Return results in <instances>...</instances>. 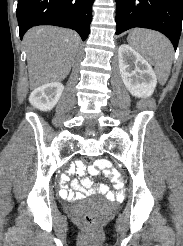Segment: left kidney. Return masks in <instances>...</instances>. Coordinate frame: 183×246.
I'll return each mask as SVG.
<instances>
[{"label":"left kidney","mask_w":183,"mask_h":246,"mask_svg":"<svg viewBox=\"0 0 183 246\" xmlns=\"http://www.w3.org/2000/svg\"><path fill=\"white\" fill-rule=\"evenodd\" d=\"M119 69L127 90L135 97H150L157 85L156 75L144 57L127 44L118 49Z\"/></svg>","instance_id":"left-kidney-1"}]
</instances>
